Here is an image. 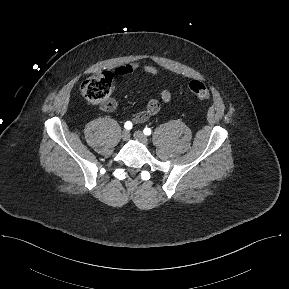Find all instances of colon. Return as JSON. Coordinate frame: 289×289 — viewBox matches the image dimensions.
<instances>
[{"label": "colon", "mask_w": 289, "mask_h": 289, "mask_svg": "<svg viewBox=\"0 0 289 289\" xmlns=\"http://www.w3.org/2000/svg\"><path fill=\"white\" fill-rule=\"evenodd\" d=\"M111 85V73L95 74L82 82L81 93L89 103L100 107L102 110L112 111L116 107V102L111 98ZM188 87L199 99L207 100L211 96L206 85L198 80H192Z\"/></svg>", "instance_id": "colon-1"}]
</instances>
